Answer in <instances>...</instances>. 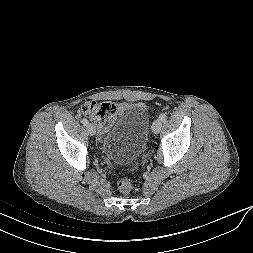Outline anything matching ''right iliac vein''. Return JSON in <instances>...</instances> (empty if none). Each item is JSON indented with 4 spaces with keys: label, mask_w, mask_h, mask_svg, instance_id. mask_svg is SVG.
<instances>
[{
    "label": "right iliac vein",
    "mask_w": 253,
    "mask_h": 253,
    "mask_svg": "<svg viewBox=\"0 0 253 253\" xmlns=\"http://www.w3.org/2000/svg\"><path fill=\"white\" fill-rule=\"evenodd\" d=\"M87 132L91 136L95 135L96 134V128H95V126L92 125V124H88L87 125Z\"/></svg>",
    "instance_id": "63e3f726"
}]
</instances>
